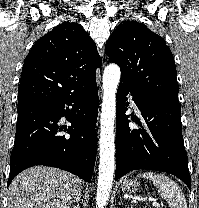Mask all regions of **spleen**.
I'll list each match as a JSON object with an SVG mask.
<instances>
[{
  "label": "spleen",
  "instance_id": "1",
  "mask_svg": "<svg viewBox=\"0 0 199 208\" xmlns=\"http://www.w3.org/2000/svg\"><path fill=\"white\" fill-rule=\"evenodd\" d=\"M154 183L161 197L166 199L170 208H187V202L181 189L172 179L164 174L144 172L138 175Z\"/></svg>",
  "mask_w": 199,
  "mask_h": 208
}]
</instances>
